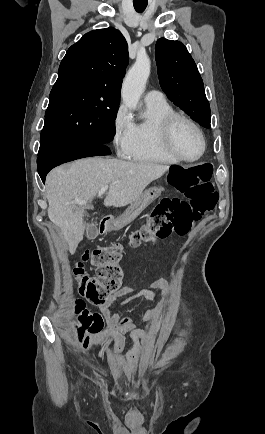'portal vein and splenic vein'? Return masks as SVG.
I'll return each instance as SVG.
<instances>
[{
  "instance_id": "portal-vein-and-splenic-vein-1",
  "label": "portal vein and splenic vein",
  "mask_w": 265,
  "mask_h": 434,
  "mask_svg": "<svg viewBox=\"0 0 265 434\" xmlns=\"http://www.w3.org/2000/svg\"><path fill=\"white\" fill-rule=\"evenodd\" d=\"M109 186H102L101 190L98 192V196H103L107 192ZM68 204H79V206H86V200H73V202H68Z\"/></svg>"
}]
</instances>
